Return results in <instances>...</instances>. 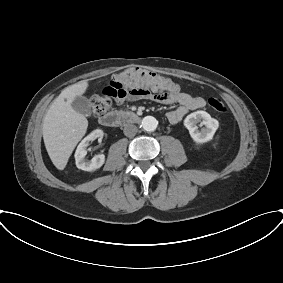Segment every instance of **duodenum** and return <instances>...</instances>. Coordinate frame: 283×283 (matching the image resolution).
Segmentation results:
<instances>
[{"label": "duodenum", "mask_w": 283, "mask_h": 283, "mask_svg": "<svg viewBox=\"0 0 283 283\" xmlns=\"http://www.w3.org/2000/svg\"><path fill=\"white\" fill-rule=\"evenodd\" d=\"M139 121L140 117L136 113L117 111L108 112L99 119V122L106 127H118L120 125L138 123Z\"/></svg>", "instance_id": "1"}]
</instances>
